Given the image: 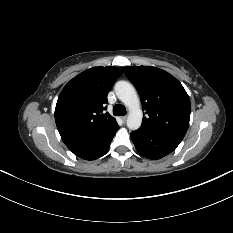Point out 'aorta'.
<instances>
[{
	"mask_svg": "<svg viewBox=\"0 0 233 233\" xmlns=\"http://www.w3.org/2000/svg\"><path fill=\"white\" fill-rule=\"evenodd\" d=\"M115 93L129 110L127 117V127L130 130L140 128L143 119L141 103L134 86L127 81H118L115 84Z\"/></svg>",
	"mask_w": 233,
	"mask_h": 233,
	"instance_id": "aorta-1",
	"label": "aorta"
}]
</instances>
